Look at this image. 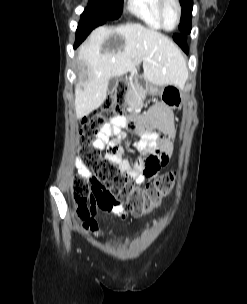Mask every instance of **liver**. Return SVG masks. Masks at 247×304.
<instances>
[{
	"label": "liver",
	"mask_w": 247,
	"mask_h": 304,
	"mask_svg": "<svg viewBox=\"0 0 247 304\" xmlns=\"http://www.w3.org/2000/svg\"><path fill=\"white\" fill-rule=\"evenodd\" d=\"M111 40L117 43L113 45ZM77 58L85 67L75 89L78 119L104 102L111 77L135 73L141 63L144 79L157 86L176 85L181 89L188 78L180 49L165 35L137 23L96 28L79 47Z\"/></svg>",
	"instance_id": "6515ba94"
}]
</instances>
